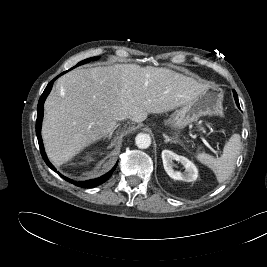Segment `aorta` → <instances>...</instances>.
<instances>
[{"label": "aorta", "mask_w": 267, "mask_h": 267, "mask_svg": "<svg viewBox=\"0 0 267 267\" xmlns=\"http://www.w3.org/2000/svg\"><path fill=\"white\" fill-rule=\"evenodd\" d=\"M136 146L140 149H146L151 145V137L146 133H139L135 138Z\"/></svg>", "instance_id": "1"}]
</instances>
